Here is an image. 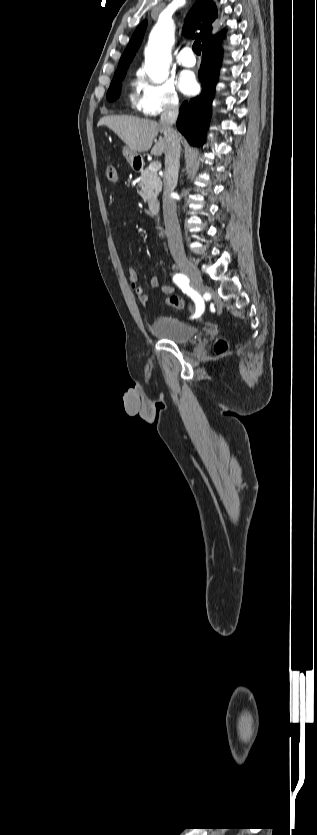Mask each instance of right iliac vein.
<instances>
[{
  "label": "right iliac vein",
  "mask_w": 317,
  "mask_h": 835,
  "mask_svg": "<svg viewBox=\"0 0 317 835\" xmlns=\"http://www.w3.org/2000/svg\"><path fill=\"white\" fill-rule=\"evenodd\" d=\"M177 264L179 268L187 275L190 279L192 288L199 294L204 291L203 280L197 267L195 264L186 257H181L177 259Z\"/></svg>",
  "instance_id": "1"
}]
</instances>
